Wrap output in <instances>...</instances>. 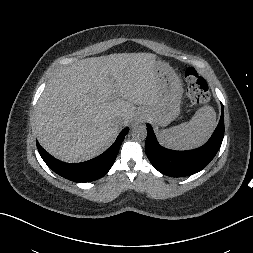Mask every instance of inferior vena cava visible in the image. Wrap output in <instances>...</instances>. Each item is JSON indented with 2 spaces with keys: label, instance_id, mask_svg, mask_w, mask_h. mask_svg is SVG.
Listing matches in <instances>:
<instances>
[{
  "label": "inferior vena cava",
  "instance_id": "1",
  "mask_svg": "<svg viewBox=\"0 0 253 253\" xmlns=\"http://www.w3.org/2000/svg\"><path fill=\"white\" fill-rule=\"evenodd\" d=\"M127 124V119L125 117L116 116L114 118V128L116 130H121Z\"/></svg>",
  "mask_w": 253,
  "mask_h": 253
}]
</instances>
